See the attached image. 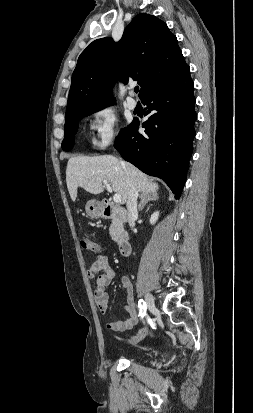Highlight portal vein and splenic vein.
Listing matches in <instances>:
<instances>
[{"instance_id": "obj_1", "label": "portal vein and splenic vein", "mask_w": 253, "mask_h": 413, "mask_svg": "<svg viewBox=\"0 0 253 413\" xmlns=\"http://www.w3.org/2000/svg\"><path fill=\"white\" fill-rule=\"evenodd\" d=\"M103 184L106 187V189L108 190V192H112V188L110 187V185L108 184L107 181H103ZM113 201L115 203H120L121 202V195L120 194H114Z\"/></svg>"}]
</instances>
